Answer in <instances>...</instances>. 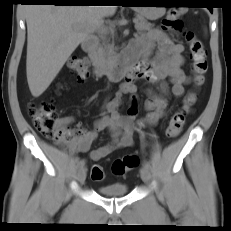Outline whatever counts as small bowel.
I'll use <instances>...</instances> for the list:
<instances>
[{"instance_id":"c3829d8e","label":"small bowel","mask_w":231,"mask_h":231,"mask_svg":"<svg viewBox=\"0 0 231 231\" xmlns=\"http://www.w3.org/2000/svg\"><path fill=\"white\" fill-rule=\"evenodd\" d=\"M133 50H138L141 58L121 86V92L129 94L131 99L127 115L119 114L120 98L117 97L107 105V111L96 120L94 128L71 143L73 150L89 152V157L93 161H98L117 149L131 147L134 144L135 131L143 124L135 122L138 113L136 81L142 80L148 85L145 109L148 111L146 122L150 124H156L165 116L169 98L184 96L185 85L190 82V78L183 71L184 46L173 42L161 29L145 33L136 42ZM154 51L155 54L151 57ZM193 98V94H188L185 97V105H191ZM60 121L64 125H69L73 119L65 117ZM103 130L109 132L110 142L90 150L98 133Z\"/></svg>"}]
</instances>
